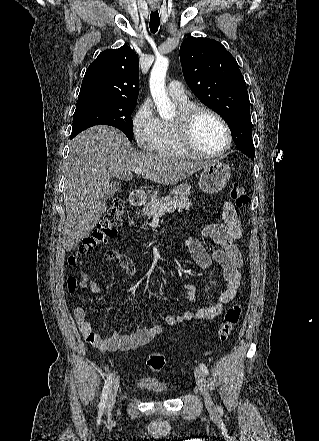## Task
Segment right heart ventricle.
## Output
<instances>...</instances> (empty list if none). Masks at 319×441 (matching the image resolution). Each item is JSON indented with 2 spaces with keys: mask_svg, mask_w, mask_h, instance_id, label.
Masks as SVG:
<instances>
[{
  "mask_svg": "<svg viewBox=\"0 0 319 441\" xmlns=\"http://www.w3.org/2000/svg\"><path fill=\"white\" fill-rule=\"evenodd\" d=\"M177 105L180 111L192 106L188 101L185 103L177 102ZM153 151L163 156L179 158L192 157L180 146L173 121L168 120H160V134Z\"/></svg>",
  "mask_w": 319,
  "mask_h": 441,
  "instance_id": "obj_1",
  "label": "right heart ventricle"
}]
</instances>
